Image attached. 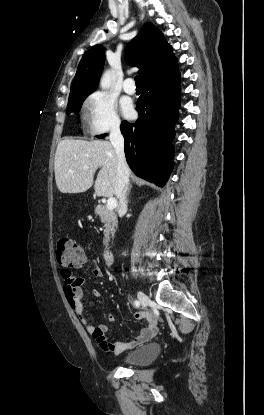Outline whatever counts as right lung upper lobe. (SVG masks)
<instances>
[{
	"mask_svg": "<svg viewBox=\"0 0 264 415\" xmlns=\"http://www.w3.org/2000/svg\"><path fill=\"white\" fill-rule=\"evenodd\" d=\"M126 61L137 66L142 83L167 77L178 71L177 59L164 35L146 23L126 47ZM105 51L96 45L87 51L78 66L69 97L89 95L97 85L104 66Z\"/></svg>",
	"mask_w": 264,
	"mask_h": 415,
	"instance_id": "right-lung-upper-lobe-1",
	"label": "right lung upper lobe"
}]
</instances>
